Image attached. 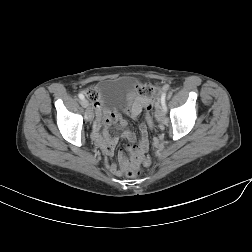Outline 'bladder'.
I'll use <instances>...</instances> for the list:
<instances>
[{
	"label": "bladder",
	"mask_w": 252,
	"mask_h": 252,
	"mask_svg": "<svg viewBox=\"0 0 252 252\" xmlns=\"http://www.w3.org/2000/svg\"><path fill=\"white\" fill-rule=\"evenodd\" d=\"M105 86L104 102L106 104L111 103L113 100L129 99V96L136 94V89L134 88V80L131 77H120L116 79H108L101 82ZM116 92H122L123 97L116 95Z\"/></svg>",
	"instance_id": "1"
}]
</instances>
